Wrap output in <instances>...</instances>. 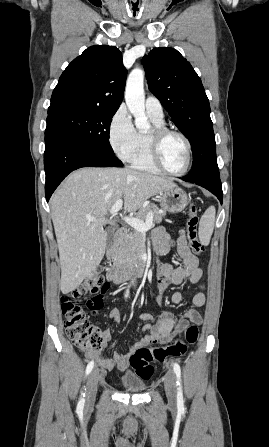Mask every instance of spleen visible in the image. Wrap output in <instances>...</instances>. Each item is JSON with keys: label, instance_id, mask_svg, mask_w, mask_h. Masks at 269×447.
I'll list each match as a JSON object with an SVG mask.
<instances>
[{"label": "spleen", "instance_id": "3e777b00", "mask_svg": "<svg viewBox=\"0 0 269 447\" xmlns=\"http://www.w3.org/2000/svg\"><path fill=\"white\" fill-rule=\"evenodd\" d=\"M215 214L216 210L214 206H210V208L204 212L199 222L198 235L202 245H208V243H210L215 225Z\"/></svg>", "mask_w": 269, "mask_h": 447}]
</instances>
